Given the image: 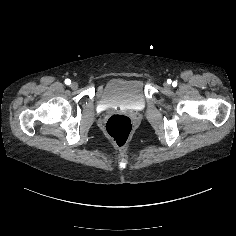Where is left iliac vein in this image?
I'll return each instance as SVG.
<instances>
[{
	"mask_svg": "<svg viewBox=\"0 0 236 236\" xmlns=\"http://www.w3.org/2000/svg\"><path fill=\"white\" fill-rule=\"evenodd\" d=\"M164 85H165V88H170V84L169 83H164Z\"/></svg>",
	"mask_w": 236,
	"mask_h": 236,
	"instance_id": "obj_1",
	"label": "left iliac vein"
}]
</instances>
